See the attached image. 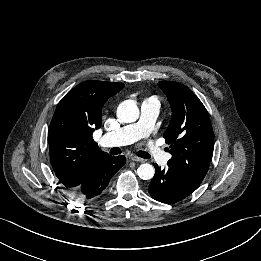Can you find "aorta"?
I'll return each instance as SVG.
<instances>
[{
    "mask_svg": "<svg viewBox=\"0 0 261 261\" xmlns=\"http://www.w3.org/2000/svg\"><path fill=\"white\" fill-rule=\"evenodd\" d=\"M117 118L123 123H132L139 118V108L132 100L121 102L117 108ZM155 173L154 167L151 164H141L137 169L138 176L143 180L153 178Z\"/></svg>",
    "mask_w": 261,
    "mask_h": 261,
    "instance_id": "1",
    "label": "aorta"
}]
</instances>
